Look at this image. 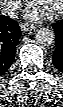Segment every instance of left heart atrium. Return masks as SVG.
<instances>
[{"instance_id": "obj_1", "label": "left heart atrium", "mask_w": 63, "mask_h": 107, "mask_svg": "<svg viewBox=\"0 0 63 107\" xmlns=\"http://www.w3.org/2000/svg\"><path fill=\"white\" fill-rule=\"evenodd\" d=\"M47 14L48 13L44 11L43 9L37 6H33L29 11L28 16L31 20H41L45 18Z\"/></svg>"}]
</instances>
